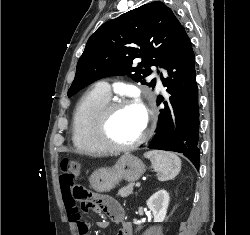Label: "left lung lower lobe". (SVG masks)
<instances>
[{"instance_id":"0a47b994","label":"left lung lower lobe","mask_w":250,"mask_h":235,"mask_svg":"<svg viewBox=\"0 0 250 235\" xmlns=\"http://www.w3.org/2000/svg\"><path fill=\"white\" fill-rule=\"evenodd\" d=\"M168 77L160 75L170 97L160 110L158 127L148 148L183 153L199 169V106L195 56L184 28L163 66ZM164 99L161 98V101Z\"/></svg>"}]
</instances>
